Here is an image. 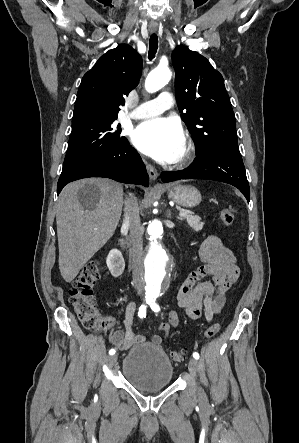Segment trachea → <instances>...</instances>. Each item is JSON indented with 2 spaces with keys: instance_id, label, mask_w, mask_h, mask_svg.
<instances>
[{
  "instance_id": "1",
  "label": "trachea",
  "mask_w": 299,
  "mask_h": 443,
  "mask_svg": "<svg viewBox=\"0 0 299 443\" xmlns=\"http://www.w3.org/2000/svg\"><path fill=\"white\" fill-rule=\"evenodd\" d=\"M157 49H158V37L156 34H152L149 41V52H148L149 60H152L155 57Z\"/></svg>"
}]
</instances>
